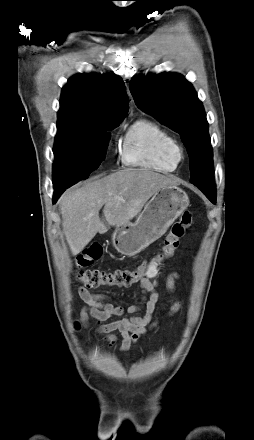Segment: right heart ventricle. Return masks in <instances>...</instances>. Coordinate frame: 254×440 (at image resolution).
<instances>
[{
  "label": "right heart ventricle",
  "instance_id": "right-heart-ventricle-1",
  "mask_svg": "<svg viewBox=\"0 0 254 440\" xmlns=\"http://www.w3.org/2000/svg\"><path fill=\"white\" fill-rule=\"evenodd\" d=\"M172 134L149 118L136 120L126 131L122 142V162L126 167L171 172L177 164L166 155Z\"/></svg>",
  "mask_w": 254,
  "mask_h": 440
}]
</instances>
